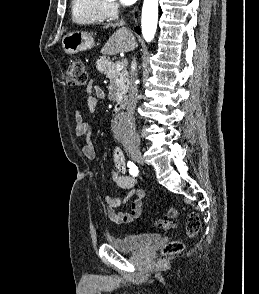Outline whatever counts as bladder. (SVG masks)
<instances>
[{
    "mask_svg": "<svg viewBox=\"0 0 259 294\" xmlns=\"http://www.w3.org/2000/svg\"><path fill=\"white\" fill-rule=\"evenodd\" d=\"M158 233L125 234L111 237L108 244L120 252H136L158 241Z\"/></svg>",
    "mask_w": 259,
    "mask_h": 294,
    "instance_id": "1",
    "label": "bladder"
}]
</instances>
